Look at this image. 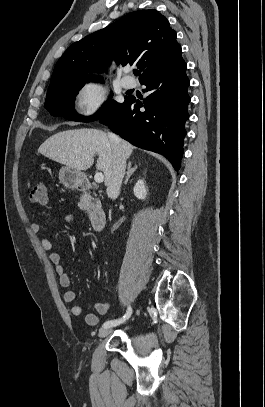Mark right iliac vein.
<instances>
[{
  "label": "right iliac vein",
  "mask_w": 265,
  "mask_h": 407,
  "mask_svg": "<svg viewBox=\"0 0 265 407\" xmlns=\"http://www.w3.org/2000/svg\"><path fill=\"white\" fill-rule=\"evenodd\" d=\"M112 329L111 328H102L99 331V337L104 338L108 336L111 333Z\"/></svg>",
  "instance_id": "obj_1"
}]
</instances>
